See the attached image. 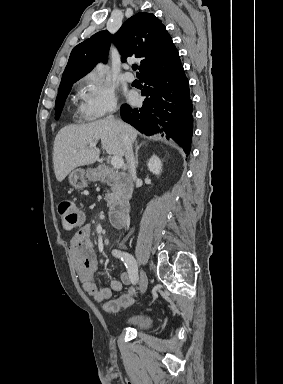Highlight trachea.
I'll use <instances>...</instances> for the list:
<instances>
[{
    "label": "trachea",
    "mask_w": 283,
    "mask_h": 384,
    "mask_svg": "<svg viewBox=\"0 0 283 384\" xmlns=\"http://www.w3.org/2000/svg\"><path fill=\"white\" fill-rule=\"evenodd\" d=\"M132 69H133V70H137V69H138V66H137V65H133V66H132Z\"/></svg>",
    "instance_id": "obj_1"
}]
</instances>
